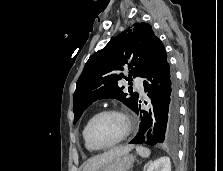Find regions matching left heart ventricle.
I'll use <instances>...</instances> for the list:
<instances>
[{
    "label": "left heart ventricle",
    "instance_id": "b2bd125f",
    "mask_svg": "<svg viewBox=\"0 0 223 171\" xmlns=\"http://www.w3.org/2000/svg\"><path fill=\"white\" fill-rule=\"evenodd\" d=\"M125 131L124 120L118 115H104L91 128V138L97 145H109L119 139Z\"/></svg>",
    "mask_w": 223,
    "mask_h": 171
}]
</instances>
